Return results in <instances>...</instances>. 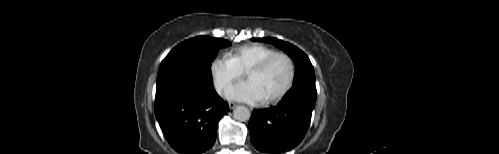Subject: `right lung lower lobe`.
Here are the masks:
<instances>
[{
	"label": "right lung lower lobe",
	"instance_id": "right-lung-lower-lobe-1",
	"mask_svg": "<svg viewBox=\"0 0 499 154\" xmlns=\"http://www.w3.org/2000/svg\"><path fill=\"white\" fill-rule=\"evenodd\" d=\"M228 110L213 86L176 83L156 89V118L170 146L181 154L209 150L217 124Z\"/></svg>",
	"mask_w": 499,
	"mask_h": 154
}]
</instances>
